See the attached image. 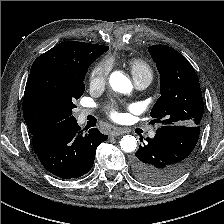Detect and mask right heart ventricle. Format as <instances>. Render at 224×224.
<instances>
[{
  "instance_id": "obj_1",
  "label": "right heart ventricle",
  "mask_w": 224,
  "mask_h": 224,
  "mask_svg": "<svg viewBox=\"0 0 224 224\" xmlns=\"http://www.w3.org/2000/svg\"><path fill=\"white\" fill-rule=\"evenodd\" d=\"M129 68L134 79L143 77L152 78L153 72L151 66L141 58H132L129 61Z\"/></svg>"
}]
</instances>
